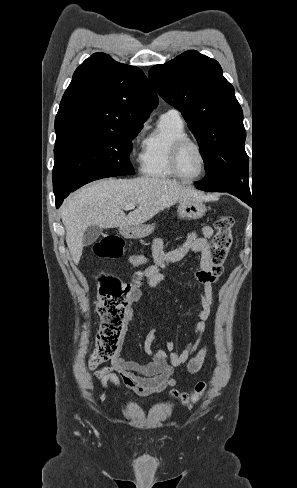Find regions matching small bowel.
<instances>
[{
    "label": "small bowel",
    "instance_id": "1",
    "mask_svg": "<svg viewBox=\"0 0 297 488\" xmlns=\"http://www.w3.org/2000/svg\"><path fill=\"white\" fill-rule=\"evenodd\" d=\"M213 230L210 226H203L198 231L191 232L177 247L167 249L163 239L156 237L151 245L152 264L144 271L135 273L132 279L131 291L127 304L141 302L145 298V290L157 287L165 278L163 270L179 262L189 252L200 254L199 269L193 275L198 285L200 308L195 311L198 321L194 324L192 334L196 339L189 341L185 348L178 352L173 341L166 343L168 354L161 349H154L157 330L152 329L144 339V350L149 358L147 363H139L126 359L120 350L125 345L126 336L123 333L118 352L111 357L110 365L103 366L92 375L93 382L99 383L104 391L110 392L113 387L121 391L119 378L132 392L139 396H149L159 393L175 385L172 374L176 367L186 364L189 373H197L205 361L207 346H201L206 335V321L210 319L214 309L212 285L215 279L209 273L210 238ZM146 257L133 255L130 262L134 266L144 264ZM131 314L126 313V324L130 322ZM119 377V378H118Z\"/></svg>",
    "mask_w": 297,
    "mask_h": 488
}]
</instances>
